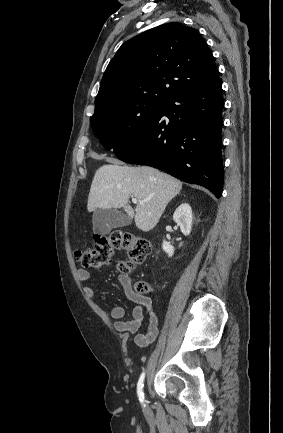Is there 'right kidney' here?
Instances as JSON below:
<instances>
[{
  "label": "right kidney",
  "instance_id": "obj_1",
  "mask_svg": "<svg viewBox=\"0 0 283 433\" xmlns=\"http://www.w3.org/2000/svg\"><path fill=\"white\" fill-rule=\"evenodd\" d=\"M173 220L180 227L181 232L184 235H189L192 228V209L189 204L183 203L181 204L173 214ZM182 243L180 244V246ZM163 250L171 257L174 254V247L170 245L169 242L163 241L162 244Z\"/></svg>",
  "mask_w": 283,
  "mask_h": 433
}]
</instances>
